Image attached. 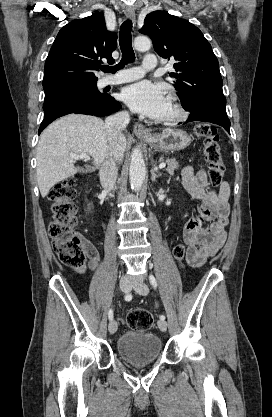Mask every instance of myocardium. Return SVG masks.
<instances>
[{"mask_svg": "<svg viewBox=\"0 0 272 417\" xmlns=\"http://www.w3.org/2000/svg\"><path fill=\"white\" fill-rule=\"evenodd\" d=\"M169 103L172 107V114L166 117L159 118V122L163 125L173 126L184 121L187 116V110L176 95L169 96Z\"/></svg>", "mask_w": 272, "mask_h": 417, "instance_id": "obj_1", "label": "myocardium"}]
</instances>
